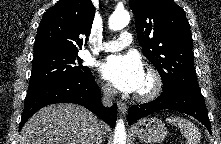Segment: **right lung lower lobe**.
<instances>
[{
    "instance_id": "right-lung-lower-lobe-1",
    "label": "right lung lower lobe",
    "mask_w": 221,
    "mask_h": 144,
    "mask_svg": "<svg viewBox=\"0 0 221 144\" xmlns=\"http://www.w3.org/2000/svg\"><path fill=\"white\" fill-rule=\"evenodd\" d=\"M100 90L91 75L85 80H58L27 92L20 128L42 107L54 103H75L94 112L112 128L116 122L117 106L102 105Z\"/></svg>"
}]
</instances>
